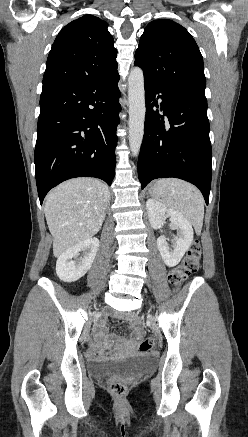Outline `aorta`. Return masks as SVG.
I'll list each match as a JSON object with an SVG mask.
<instances>
[{"label": "aorta", "instance_id": "1", "mask_svg": "<svg viewBox=\"0 0 248 437\" xmlns=\"http://www.w3.org/2000/svg\"><path fill=\"white\" fill-rule=\"evenodd\" d=\"M129 146L133 156H138L144 135L146 114L143 71L131 70L128 77Z\"/></svg>", "mask_w": 248, "mask_h": 437}]
</instances>
